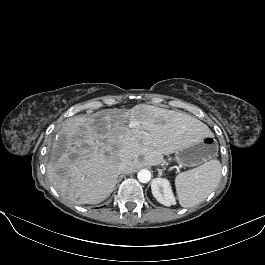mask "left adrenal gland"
Listing matches in <instances>:
<instances>
[{
    "label": "left adrenal gland",
    "mask_w": 265,
    "mask_h": 265,
    "mask_svg": "<svg viewBox=\"0 0 265 265\" xmlns=\"http://www.w3.org/2000/svg\"><path fill=\"white\" fill-rule=\"evenodd\" d=\"M158 172H159V176L162 175V170L158 169Z\"/></svg>",
    "instance_id": "left-adrenal-gland-1"
}]
</instances>
